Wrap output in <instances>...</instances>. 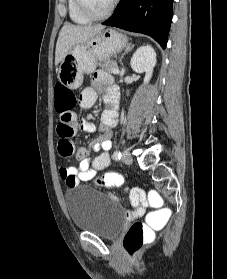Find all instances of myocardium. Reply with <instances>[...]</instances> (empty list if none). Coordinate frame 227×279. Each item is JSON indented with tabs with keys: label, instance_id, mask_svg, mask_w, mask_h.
Wrapping results in <instances>:
<instances>
[{
	"label": "myocardium",
	"instance_id": "myocardium-1",
	"mask_svg": "<svg viewBox=\"0 0 227 279\" xmlns=\"http://www.w3.org/2000/svg\"><path fill=\"white\" fill-rule=\"evenodd\" d=\"M116 2H117V0H112V1H111V4H110V6H109V8L107 9V11L104 12L103 14L97 15V14H94V13L88 8V6H87L85 0H76V4H77V7H78L80 13H81L84 17H86L87 19L93 20V21L102 20V19L108 18V17L112 14V12H113V10H114V8H115Z\"/></svg>",
	"mask_w": 227,
	"mask_h": 279
}]
</instances>
